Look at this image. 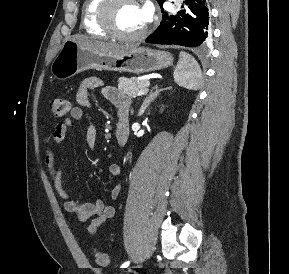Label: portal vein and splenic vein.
I'll list each match as a JSON object with an SVG mask.
<instances>
[{"label":"portal vein and splenic vein","mask_w":289,"mask_h":274,"mask_svg":"<svg viewBox=\"0 0 289 274\" xmlns=\"http://www.w3.org/2000/svg\"><path fill=\"white\" fill-rule=\"evenodd\" d=\"M149 85V84H148ZM148 92V88L144 89V90H141L140 92H138V96H142L144 94H146Z\"/></svg>","instance_id":"18ae733b"}]
</instances>
